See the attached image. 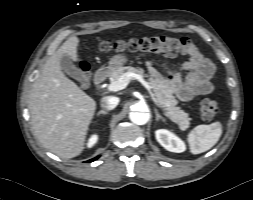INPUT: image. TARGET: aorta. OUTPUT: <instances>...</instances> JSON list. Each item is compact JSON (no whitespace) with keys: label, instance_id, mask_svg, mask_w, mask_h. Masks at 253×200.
Returning <instances> with one entry per match:
<instances>
[{"label":"aorta","instance_id":"762f6f07","mask_svg":"<svg viewBox=\"0 0 253 200\" xmlns=\"http://www.w3.org/2000/svg\"><path fill=\"white\" fill-rule=\"evenodd\" d=\"M145 106L146 105L144 103L135 104L134 111L129 115V118L133 123L137 125H144L148 122L149 116L144 111Z\"/></svg>","mask_w":253,"mask_h":200}]
</instances>
